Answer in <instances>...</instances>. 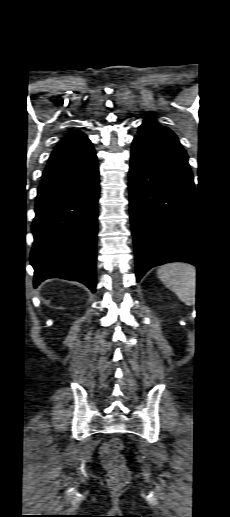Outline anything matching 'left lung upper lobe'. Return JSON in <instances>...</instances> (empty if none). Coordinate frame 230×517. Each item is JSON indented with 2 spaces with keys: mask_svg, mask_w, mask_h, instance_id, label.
Wrapping results in <instances>:
<instances>
[{
  "mask_svg": "<svg viewBox=\"0 0 230 517\" xmlns=\"http://www.w3.org/2000/svg\"><path fill=\"white\" fill-rule=\"evenodd\" d=\"M133 142L188 160L186 151L181 147L177 136L170 129L149 117L144 119Z\"/></svg>",
  "mask_w": 230,
  "mask_h": 517,
  "instance_id": "1",
  "label": "left lung upper lobe"
}]
</instances>
